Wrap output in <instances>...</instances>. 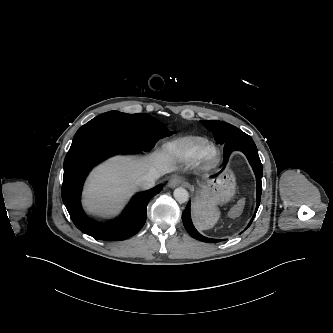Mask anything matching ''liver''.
I'll use <instances>...</instances> for the list:
<instances>
[{
  "label": "liver",
  "mask_w": 333,
  "mask_h": 333,
  "mask_svg": "<svg viewBox=\"0 0 333 333\" xmlns=\"http://www.w3.org/2000/svg\"><path fill=\"white\" fill-rule=\"evenodd\" d=\"M174 170L171 156L155 150L141 157H114L92 172L84 191V205L92 214L116 213L137 189L136 180L146 174L159 177Z\"/></svg>",
  "instance_id": "obj_1"
}]
</instances>
